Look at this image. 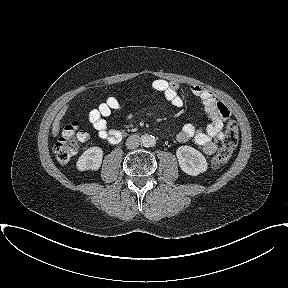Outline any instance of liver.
<instances>
[{
	"mask_svg": "<svg viewBox=\"0 0 288 288\" xmlns=\"http://www.w3.org/2000/svg\"><path fill=\"white\" fill-rule=\"evenodd\" d=\"M68 106H64L61 111L56 115L55 120L52 124V134L54 137H56L59 133L60 129V120L63 118L65 115V112L67 111Z\"/></svg>",
	"mask_w": 288,
	"mask_h": 288,
	"instance_id": "obj_1",
	"label": "liver"
}]
</instances>
